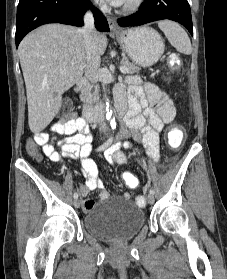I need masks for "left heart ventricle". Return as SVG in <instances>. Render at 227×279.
<instances>
[{"mask_svg":"<svg viewBox=\"0 0 227 279\" xmlns=\"http://www.w3.org/2000/svg\"><path fill=\"white\" fill-rule=\"evenodd\" d=\"M129 0H125L124 3L128 2Z\"/></svg>","mask_w":227,"mask_h":279,"instance_id":"b2bd125f","label":"left heart ventricle"}]
</instances>
